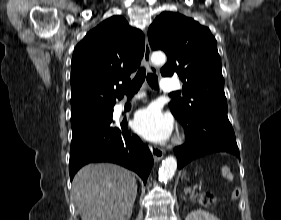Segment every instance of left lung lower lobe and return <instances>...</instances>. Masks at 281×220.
I'll return each instance as SVG.
<instances>
[{
  "instance_id": "left-lung-lower-lobe-1",
  "label": "left lung lower lobe",
  "mask_w": 281,
  "mask_h": 220,
  "mask_svg": "<svg viewBox=\"0 0 281 220\" xmlns=\"http://www.w3.org/2000/svg\"><path fill=\"white\" fill-rule=\"evenodd\" d=\"M174 116L184 127L186 135V143L174 149L179 169L195 158L214 152H227L240 158L227 114L207 111L190 119Z\"/></svg>"
}]
</instances>
